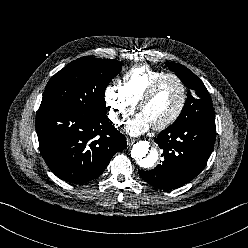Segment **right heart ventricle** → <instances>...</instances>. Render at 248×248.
<instances>
[{"label": "right heart ventricle", "mask_w": 248, "mask_h": 248, "mask_svg": "<svg viewBox=\"0 0 248 248\" xmlns=\"http://www.w3.org/2000/svg\"><path fill=\"white\" fill-rule=\"evenodd\" d=\"M162 74H164L162 70L148 65L136 66L124 74L121 87L127 97L136 105L149 85Z\"/></svg>", "instance_id": "obj_1"}]
</instances>
